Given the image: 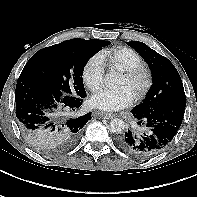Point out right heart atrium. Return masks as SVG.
Wrapping results in <instances>:
<instances>
[{"instance_id": "obj_1", "label": "right heart atrium", "mask_w": 197, "mask_h": 197, "mask_svg": "<svg viewBox=\"0 0 197 197\" xmlns=\"http://www.w3.org/2000/svg\"><path fill=\"white\" fill-rule=\"evenodd\" d=\"M105 76V64L99 55L91 57L83 67L82 80L91 91L98 89Z\"/></svg>"}]
</instances>
